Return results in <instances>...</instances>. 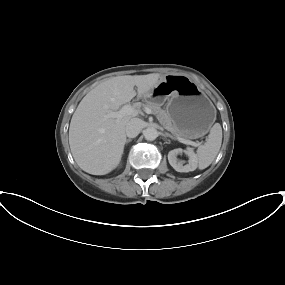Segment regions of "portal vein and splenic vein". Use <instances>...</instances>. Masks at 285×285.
Segmentation results:
<instances>
[{"label": "portal vein and splenic vein", "instance_id": "portal-vein-and-splenic-vein-1", "mask_svg": "<svg viewBox=\"0 0 285 285\" xmlns=\"http://www.w3.org/2000/svg\"><path fill=\"white\" fill-rule=\"evenodd\" d=\"M145 112L147 114H153L152 110L149 109V108H146L145 109ZM135 113V108L132 107L131 105L129 104H126L124 105L119 111H116V112H109L108 113V117H111V118H122L123 116L125 115H132ZM176 139L181 142V143H184L186 145H191V146H198L199 143H196L194 141H191V140H188V139H185V138H182V137H179V136H176Z\"/></svg>", "mask_w": 285, "mask_h": 285}]
</instances>
